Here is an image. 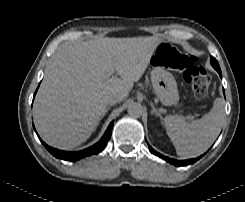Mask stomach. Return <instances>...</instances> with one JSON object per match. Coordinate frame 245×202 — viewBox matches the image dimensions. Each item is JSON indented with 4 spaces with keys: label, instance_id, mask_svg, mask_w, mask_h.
I'll return each instance as SVG.
<instances>
[{
    "label": "stomach",
    "instance_id": "stomach-1",
    "mask_svg": "<svg viewBox=\"0 0 245 202\" xmlns=\"http://www.w3.org/2000/svg\"><path fill=\"white\" fill-rule=\"evenodd\" d=\"M158 45L150 58L152 66L151 82L154 92L161 103L171 106L178 101L177 83L174 76L164 66V55Z\"/></svg>",
    "mask_w": 245,
    "mask_h": 202
}]
</instances>
